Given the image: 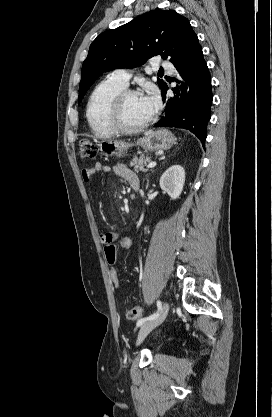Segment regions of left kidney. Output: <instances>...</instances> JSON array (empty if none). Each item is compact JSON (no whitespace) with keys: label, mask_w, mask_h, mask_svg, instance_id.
<instances>
[{"label":"left kidney","mask_w":272,"mask_h":417,"mask_svg":"<svg viewBox=\"0 0 272 417\" xmlns=\"http://www.w3.org/2000/svg\"><path fill=\"white\" fill-rule=\"evenodd\" d=\"M185 183V170L180 165L169 167L160 178V187L171 199H177Z\"/></svg>","instance_id":"1"}]
</instances>
